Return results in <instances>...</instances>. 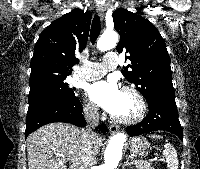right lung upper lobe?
Masks as SVG:
<instances>
[{"instance_id": "1", "label": "right lung upper lobe", "mask_w": 200, "mask_h": 169, "mask_svg": "<svg viewBox=\"0 0 200 169\" xmlns=\"http://www.w3.org/2000/svg\"><path fill=\"white\" fill-rule=\"evenodd\" d=\"M90 22V12L74 9L40 34L30 64V86L46 80L66 79L78 62L75 53L82 52L86 46Z\"/></svg>"}]
</instances>
